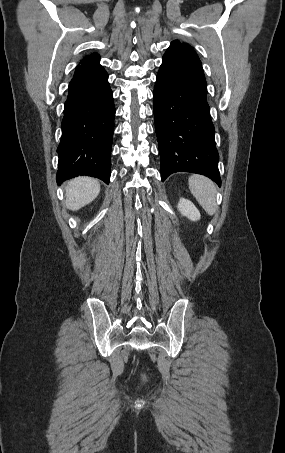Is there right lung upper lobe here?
Here are the masks:
<instances>
[{
    "label": "right lung upper lobe",
    "instance_id": "cb5924a9",
    "mask_svg": "<svg viewBox=\"0 0 285 453\" xmlns=\"http://www.w3.org/2000/svg\"><path fill=\"white\" fill-rule=\"evenodd\" d=\"M100 61V56L97 53H93L89 56H86L82 61L81 64H95Z\"/></svg>",
    "mask_w": 285,
    "mask_h": 453
}]
</instances>
